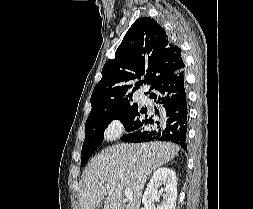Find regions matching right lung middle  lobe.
<instances>
[{
    "label": "right lung middle lobe",
    "instance_id": "right-lung-middle-lobe-1",
    "mask_svg": "<svg viewBox=\"0 0 253 209\" xmlns=\"http://www.w3.org/2000/svg\"><path fill=\"white\" fill-rule=\"evenodd\" d=\"M142 113L138 106L134 105L126 109L88 117L85 124L86 137L82 146L81 165H85L90 156L101 145L104 138V130L112 120L119 119L123 122L125 130L128 132L121 138L123 140L143 125L147 116H142Z\"/></svg>",
    "mask_w": 253,
    "mask_h": 209
}]
</instances>
